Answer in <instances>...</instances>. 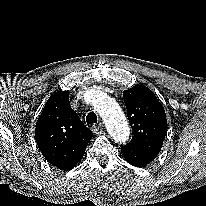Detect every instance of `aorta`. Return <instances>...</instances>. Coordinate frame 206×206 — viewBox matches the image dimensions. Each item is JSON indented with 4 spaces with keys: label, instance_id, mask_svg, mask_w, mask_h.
I'll return each instance as SVG.
<instances>
[{
    "label": "aorta",
    "instance_id": "aorta-1",
    "mask_svg": "<svg viewBox=\"0 0 206 206\" xmlns=\"http://www.w3.org/2000/svg\"><path fill=\"white\" fill-rule=\"evenodd\" d=\"M93 105L104 119L111 137L118 143L126 142L130 129L127 119L118 104L107 94L97 92L94 96Z\"/></svg>",
    "mask_w": 206,
    "mask_h": 206
}]
</instances>
